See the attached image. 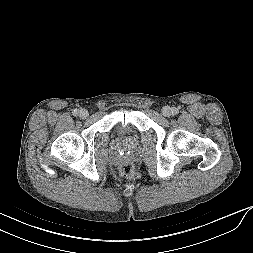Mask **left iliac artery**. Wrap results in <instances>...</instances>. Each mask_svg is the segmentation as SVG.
<instances>
[{
  "label": "left iliac artery",
  "mask_w": 253,
  "mask_h": 253,
  "mask_svg": "<svg viewBox=\"0 0 253 253\" xmlns=\"http://www.w3.org/2000/svg\"><path fill=\"white\" fill-rule=\"evenodd\" d=\"M177 113H178V109H177V108H173L172 114H173V115H176Z\"/></svg>",
  "instance_id": "44dca946"
}]
</instances>
